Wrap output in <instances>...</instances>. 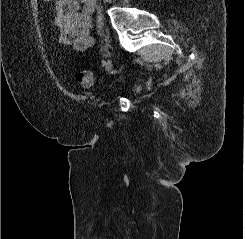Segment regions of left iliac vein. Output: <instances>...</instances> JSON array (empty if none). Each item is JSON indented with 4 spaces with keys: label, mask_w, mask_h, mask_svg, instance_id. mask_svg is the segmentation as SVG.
<instances>
[{
    "label": "left iliac vein",
    "mask_w": 245,
    "mask_h": 239,
    "mask_svg": "<svg viewBox=\"0 0 245 239\" xmlns=\"http://www.w3.org/2000/svg\"><path fill=\"white\" fill-rule=\"evenodd\" d=\"M112 60L111 59H108L107 61H106V64H105V69H106V71L107 72H109L111 69H112Z\"/></svg>",
    "instance_id": "1"
}]
</instances>
